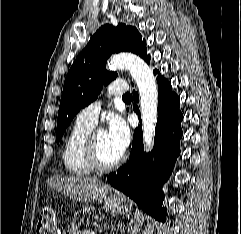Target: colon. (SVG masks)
Segmentation results:
<instances>
[{"label":"colon","instance_id":"colon-1","mask_svg":"<svg viewBox=\"0 0 241 234\" xmlns=\"http://www.w3.org/2000/svg\"><path fill=\"white\" fill-rule=\"evenodd\" d=\"M36 234H57V219L51 207L42 209L37 223Z\"/></svg>","mask_w":241,"mask_h":234}]
</instances>
